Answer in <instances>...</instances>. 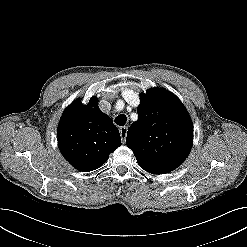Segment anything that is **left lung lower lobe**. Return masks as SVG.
Returning <instances> with one entry per match:
<instances>
[{
    "mask_svg": "<svg viewBox=\"0 0 247 247\" xmlns=\"http://www.w3.org/2000/svg\"><path fill=\"white\" fill-rule=\"evenodd\" d=\"M143 169L146 170L149 173H152V174H165V173H168L166 171H162V170H158V169H150V168H143Z\"/></svg>",
    "mask_w": 247,
    "mask_h": 247,
    "instance_id": "obj_1",
    "label": "left lung lower lobe"
}]
</instances>
